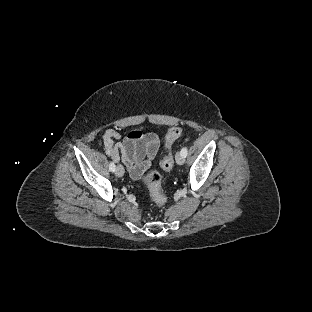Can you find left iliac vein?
<instances>
[{
  "mask_svg": "<svg viewBox=\"0 0 312 312\" xmlns=\"http://www.w3.org/2000/svg\"><path fill=\"white\" fill-rule=\"evenodd\" d=\"M176 162H177V164H179V165H183V164H184L185 158H184V156L181 154V152H178V153L176 154Z\"/></svg>",
  "mask_w": 312,
  "mask_h": 312,
  "instance_id": "left-iliac-vein-1",
  "label": "left iliac vein"
}]
</instances>
